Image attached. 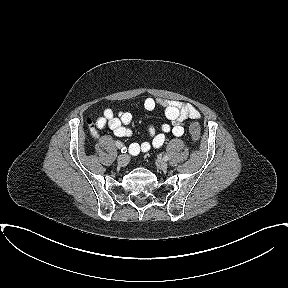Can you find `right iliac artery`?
Returning <instances> with one entry per match:
<instances>
[{
  "instance_id": "obj_1",
  "label": "right iliac artery",
  "mask_w": 288,
  "mask_h": 288,
  "mask_svg": "<svg viewBox=\"0 0 288 288\" xmlns=\"http://www.w3.org/2000/svg\"><path fill=\"white\" fill-rule=\"evenodd\" d=\"M115 145L117 146V148L121 149L123 147V144L120 141H116Z\"/></svg>"
}]
</instances>
